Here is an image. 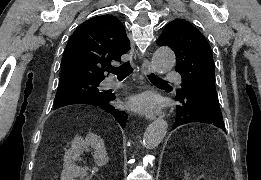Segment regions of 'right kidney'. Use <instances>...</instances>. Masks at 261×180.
<instances>
[{"label":"right kidney","instance_id":"1","mask_svg":"<svg viewBox=\"0 0 261 180\" xmlns=\"http://www.w3.org/2000/svg\"><path fill=\"white\" fill-rule=\"evenodd\" d=\"M89 148H93L94 150V160L97 166H105L107 164L108 156L104 142L100 136H96V134H87L86 138L75 136L71 142V150L65 152L61 180H72L76 176H86L87 170H81V168L75 166V162Z\"/></svg>","mask_w":261,"mask_h":180}]
</instances>
